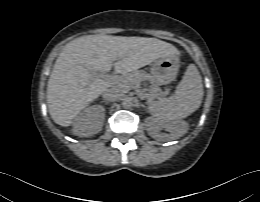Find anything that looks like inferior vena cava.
<instances>
[{
    "mask_svg": "<svg viewBox=\"0 0 260 202\" xmlns=\"http://www.w3.org/2000/svg\"><path fill=\"white\" fill-rule=\"evenodd\" d=\"M122 92L117 88H109L103 92V99L109 102L117 101L121 98Z\"/></svg>",
    "mask_w": 260,
    "mask_h": 202,
    "instance_id": "1",
    "label": "inferior vena cava"
}]
</instances>
